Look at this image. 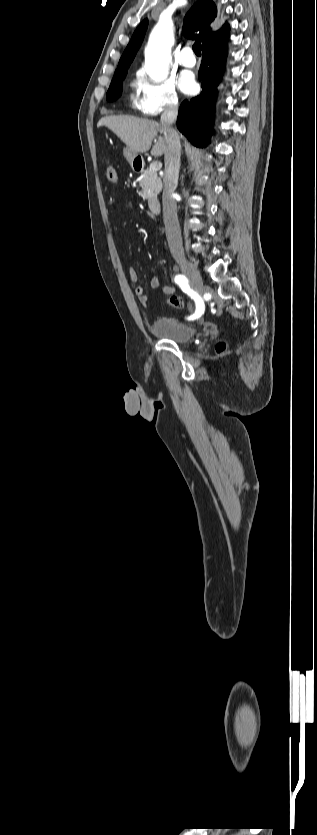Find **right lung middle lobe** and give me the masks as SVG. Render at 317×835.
I'll return each instance as SVG.
<instances>
[{
	"label": "right lung middle lobe",
	"instance_id": "right-lung-middle-lobe-1",
	"mask_svg": "<svg viewBox=\"0 0 317 835\" xmlns=\"http://www.w3.org/2000/svg\"><path fill=\"white\" fill-rule=\"evenodd\" d=\"M127 69L128 68H122L120 70L115 71L114 77L106 95L108 101H115L120 97L122 92V81L127 74Z\"/></svg>",
	"mask_w": 317,
	"mask_h": 835
}]
</instances>
